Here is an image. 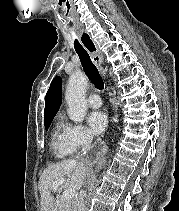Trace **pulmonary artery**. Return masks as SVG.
Returning <instances> with one entry per match:
<instances>
[{
    "instance_id": "pulmonary-artery-1",
    "label": "pulmonary artery",
    "mask_w": 179,
    "mask_h": 211,
    "mask_svg": "<svg viewBox=\"0 0 179 211\" xmlns=\"http://www.w3.org/2000/svg\"><path fill=\"white\" fill-rule=\"evenodd\" d=\"M88 105L94 109L101 107L102 101L98 94H91L87 99Z\"/></svg>"
}]
</instances>
